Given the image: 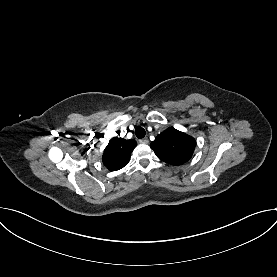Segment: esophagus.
Here are the masks:
<instances>
[{
	"label": "esophagus",
	"instance_id": "1",
	"mask_svg": "<svg viewBox=\"0 0 277 277\" xmlns=\"http://www.w3.org/2000/svg\"><path fill=\"white\" fill-rule=\"evenodd\" d=\"M139 143H141V144H148L149 140L147 138H143V139L139 140Z\"/></svg>",
	"mask_w": 277,
	"mask_h": 277
}]
</instances>
